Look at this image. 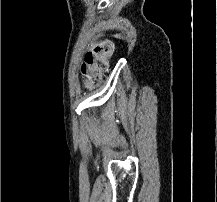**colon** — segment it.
<instances>
[{"instance_id": "1", "label": "colon", "mask_w": 217, "mask_h": 202, "mask_svg": "<svg viewBox=\"0 0 217 202\" xmlns=\"http://www.w3.org/2000/svg\"><path fill=\"white\" fill-rule=\"evenodd\" d=\"M114 42L111 39L93 41V46L85 54L81 64V73L86 86L101 83L109 70V58L113 53Z\"/></svg>"}]
</instances>
